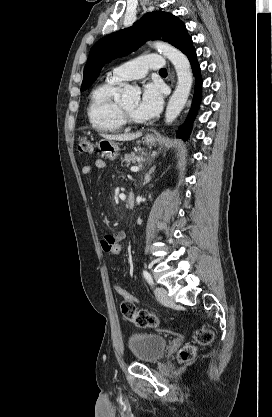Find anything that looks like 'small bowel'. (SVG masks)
Listing matches in <instances>:
<instances>
[{"label":"small bowel","instance_id":"obj_1","mask_svg":"<svg viewBox=\"0 0 272 417\" xmlns=\"http://www.w3.org/2000/svg\"><path fill=\"white\" fill-rule=\"evenodd\" d=\"M94 167L97 169H105L107 167V164L104 160L98 159L95 161L94 163ZM93 166L91 165H85L82 167V174L85 176L90 175L93 172L94 169ZM125 238V232L124 231H116L113 232L111 234H107L104 236V238L101 241V248L103 249V251L106 252L107 250V245L112 241V240H116V239H124Z\"/></svg>","mask_w":272,"mask_h":417}]
</instances>
